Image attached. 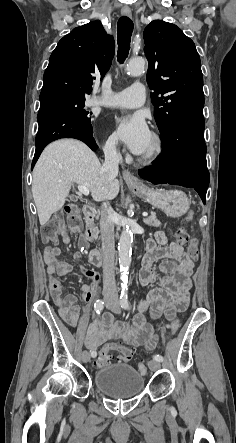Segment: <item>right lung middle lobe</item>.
<instances>
[{"mask_svg":"<svg viewBox=\"0 0 236 443\" xmlns=\"http://www.w3.org/2000/svg\"><path fill=\"white\" fill-rule=\"evenodd\" d=\"M44 101L59 102L65 105L68 109H70L74 114H76L80 118L90 121L89 115L92 113H89L88 111H85V109H83L85 96L74 95V94H56L45 99Z\"/></svg>","mask_w":236,"mask_h":443,"instance_id":"obj_1","label":"right lung middle lobe"}]
</instances>
